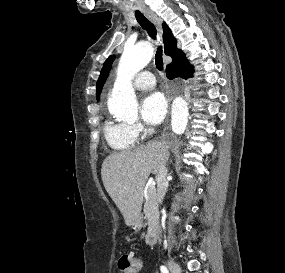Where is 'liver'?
<instances>
[{
    "label": "liver",
    "mask_w": 285,
    "mask_h": 273,
    "mask_svg": "<svg viewBox=\"0 0 285 273\" xmlns=\"http://www.w3.org/2000/svg\"><path fill=\"white\" fill-rule=\"evenodd\" d=\"M169 157L166 142L152 141L133 150L112 153L102 164L103 185L122 213L125 223L140 218L144 185L151 173L158 174Z\"/></svg>",
    "instance_id": "6515ba94"
}]
</instances>
